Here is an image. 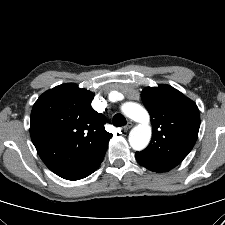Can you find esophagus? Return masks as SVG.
Instances as JSON below:
<instances>
[{"label":"esophagus","instance_id":"esophagus-1","mask_svg":"<svg viewBox=\"0 0 225 225\" xmlns=\"http://www.w3.org/2000/svg\"><path fill=\"white\" fill-rule=\"evenodd\" d=\"M132 127H133V123L129 122V123H127V125L124 126V131L127 132V131L130 130Z\"/></svg>","mask_w":225,"mask_h":225}]
</instances>
